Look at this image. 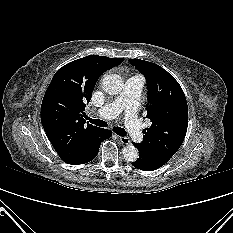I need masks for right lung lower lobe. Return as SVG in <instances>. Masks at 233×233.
Returning <instances> with one entry per match:
<instances>
[{"label":"right lung lower lobe","instance_id":"obj_1","mask_svg":"<svg viewBox=\"0 0 233 233\" xmlns=\"http://www.w3.org/2000/svg\"><path fill=\"white\" fill-rule=\"evenodd\" d=\"M112 136V131L108 129L100 128L97 131L95 137L91 140V142L86 145L80 155L76 158L66 162L67 164L77 165V164H84L91 160H93L99 151V146L101 142L105 139H108Z\"/></svg>","mask_w":233,"mask_h":233}]
</instances>
